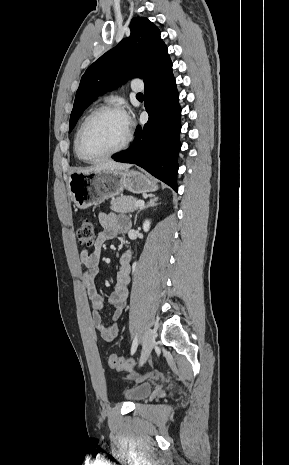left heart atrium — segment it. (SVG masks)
<instances>
[{"instance_id":"39dd6f15","label":"left heart atrium","mask_w":289,"mask_h":465,"mask_svg":"<svg viewBox=\"0 0 289 465\" xmlns=\"http://www.w3.org/2000/svg\"><path fill=\"white\" fill-rule=\"evenodd\" d=\"M122 116L127 124V126H129L130 124V118H129V115L126 113V112H122Z\"/></svg>"}]
</instances>
